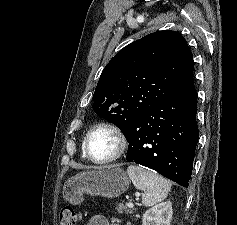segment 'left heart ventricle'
<instances>
[{
	"mask_svg": "<svg viewBox=\"0 0 237 225\" xmlns=\"http://www.w3.org/2000/svg\"><path fill=\"white\" fill-rule=\"evenodd\" d=\"M116 147V141L112 134L106 131L95 132L89 142V150L95 158H106L111 155Z\"/></svg>",
	"mask_w": 237,
	"mask_h": 225,
	"instance_id": "1",
	"label": "left heart ventricle"
}]
</instances>
